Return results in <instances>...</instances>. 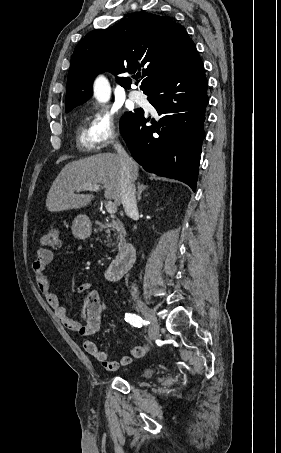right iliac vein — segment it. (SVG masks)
Returning a JSON list of instances; mask_svg holds the SVG:
<instances>
[{
	"instance_id": "1",
	"label": "right iliac vein",
	"mask_w": 281,
	"mask_h": 453,
	"mask_svg": "<svg viewBox=\"0 0 281 453\" xmlns=\"http://www.w3.org/2000/svg\"><path fill=\"white\" fill-rule=\"evenodd\" d=\"M135 307L139 310H142L143 317H145L146 320L151 324L152 329L150 331V338L152 340H155L157 338L158 332L161 330V325L157 317L155 316L154 310H152V308H148L147 304L143 301H136Z\"/></svg>"
}]
</instances>
